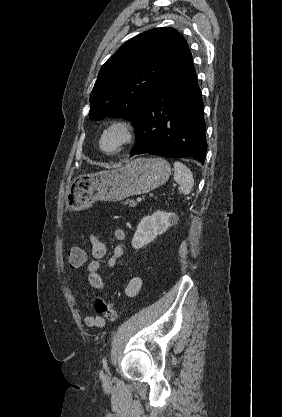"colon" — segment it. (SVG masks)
I'll return each instance as SVG.
<instances>
[{
  "mask_svg": "<svg viewBox=\"0 0 282 417\" xmlns=\"http://www.w3.org/2000/svg\"><path fill=\"white\" fill-rule=\"evenodd\" d=\"M69 265L73 269L83 266L87 261L86 253L78 247L72 248L67 255ZM94 308L98 315H103L110 321H115L117 318V312L115 308L105 302L102 298H97L94 302Z\"/></svg>",
  "mask_w": 282,
  "mask_h": 417,
  "instance_id": "5ec220e1",
  "label": "colon"
}]
</instances>
